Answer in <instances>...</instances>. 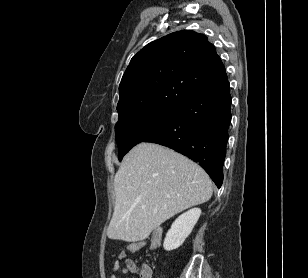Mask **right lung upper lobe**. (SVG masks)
Masks as SVG:
<instances>
[{
    "label": "right lung upper lobe",
    "instance_id": "cb5924a9",
    "mask_svg": "<svg viewBox=\"0 0 308 278\" xmlns=\"http://www.w3.org/2000/svg\"><path fill=\"white\" fill-rule=\"evenodd\" d=\"M227 82L225 67L205 35L171 33L131 59L119 86V120L150 108H178Z\"/></svg>",
    "mask_w": 308,
    "mask_h": 278
}]
</instances>
